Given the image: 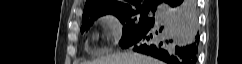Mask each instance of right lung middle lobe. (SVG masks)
<instances>
[{
    "instance_id": "dd1d6c3e",
    "label": "right lung middle lobe",
    "mask_w": 242,
    "mask_h": 64,
    "mask_svg": "<svg viewBox=\"0 0 242 64\" xmlns=\"http://www.w3.org/2000/svg\"><path fill=\"white\" fill-rule=\"evenodd\" d=\"M151 9L153 12L156 8L153 6H138L135 8L96 13L87 16H83L82 20L84 25L81 28L83 33L85 29H89L92 25L94 19L105 14H113L119 18L123 24V35L119 42L120 47L126 48L135 38L141 35L145 30H147L155 21L154 17H148L147 14Z\"/></svg>"
}]
</instances>
